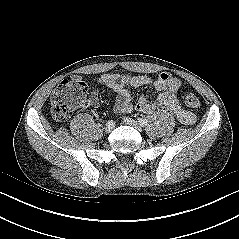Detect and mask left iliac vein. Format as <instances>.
<instances>
[{
	"mask_svg": "<svg viewBox=\"0 0 239 239\" xmlns=\"http://www.w3.org/2000/svg\"><path fill=\"white\" fill-rule=\"evenodd\" d=\"M123 122L127 125H130L132 127H134L135 129H137L138 131L142 130V126L135 120L129 118V117H124L123 118Z\"/></svg>",
	"mask_w": 239,
	"mask_h": 239,
	"instance_id": "4c4485c4",
	"label": "left iliac vein"
}]
</instances>
